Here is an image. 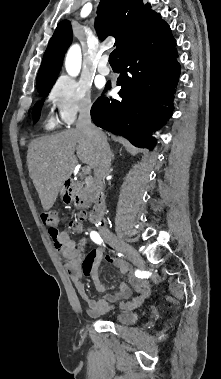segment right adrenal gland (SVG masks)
Here are the masks:
<instances>
[{"label":"right adrenal gland","mask_w":221,"mask_h":379,"mask_svg":"<svg viewBox=\"0 0 221 379\" xmlns=\"http://www.w3.org/2000/svg\"><path fill=\"white\" fill-rule=\"evenodd\" d=\"M112 160H114V154L112 153Z\"/></svg>","instance_id":"obj_1"}]
</instances>
